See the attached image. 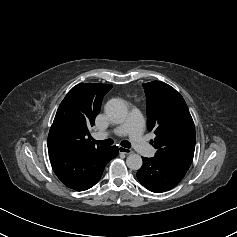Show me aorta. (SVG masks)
Listing matches in <instances>:
<instances>
[{
    "label": "aorta",
    "instance_id": "1",
    "mask_svg": "<svg viewBox=\"0 0 237 237\" xmlns=\"http://www.w3.org/2000/svg\"><path fill=\"white\" fill-rule=\"evenodd\" d=\"M105 113L113 122L122 123L128 114L125 102L121 99H111L105 105ZM127 167L131 170H139L143 161L140 155L132 153L126 159Z\"/></svg>",
    "mask_w": 237,
    "mask_h": 237
}]
</instances>
